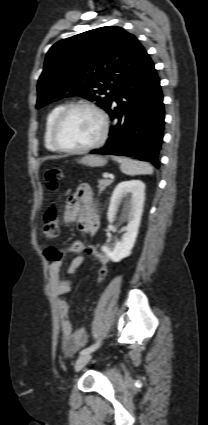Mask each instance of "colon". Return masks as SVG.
Listing matches in <instances>:
<instances>
[{"label": "colon", "instance_id": "obj_1", "mask_svg": "<svg viewBox=\"0 0 208 425\" xmlns=\"http://www.w3.org/2000/svg\"><path fill=\"white\" fill-rule=\"evenodd\" d=\"M63 176V170L59 167H50L45 169L43 177L45 183L50 191H56L59 187L60 181ZM60 221L58 217V210L56 206H52L46 212L44 217L43 235L47 239H55L59 235ZM45 255L50 261H59L63 258L61 250L56 248H48ZM108 273L107 267L101 266L95 276L94 282L101 283L105 280Z\"/></svg>", "mask_w": 208, "mask_h": 425}]
</instances>
